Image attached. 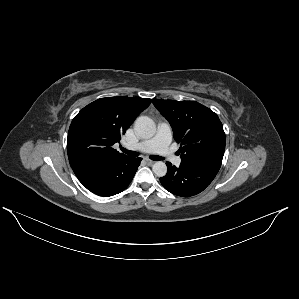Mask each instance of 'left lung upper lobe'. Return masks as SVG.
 I'll list each match as a JSON object with an SVG mask.
<instances>
[{"label": "left lung upper lobe", "mask_w": 299, "mask_h": 299, "mask_svg": "<svg viewBox=\"0 0 299 299\" xmlns=\"http://www.w3.org/2000/svg\"><path fill=\"white\" fill-rule=\"evenodd\" d=\"M152 102L169 121L176 142L181 144V162H222L226 138L216 113L195 101L153 99Z\"/></svg>", "instance_id": "obj_1"}]
</instances>
